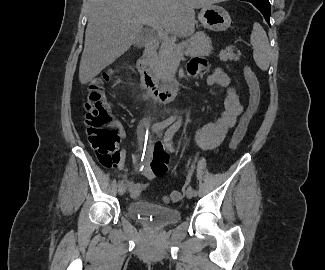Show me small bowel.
Masks as SVG:
<instances>
[{
    "label": "small bowel",
    "instance_id": "small-bowel-1",
    "mask_svg": "<svg viewBox=\"0 0 325 270\" xmlns=\"http://www.w3.org/2000/svg\"><path fill=\"white\" fill-rule=\"evenodd\" d=\"M205 66L206 61L204 59H193L189 66V75L194 78L197 77L199 71ZM207 82L209 85H219L228 88L225 107L218 119L214 122L205 124L196 132L197 144L203 149L210 150L216 148L223 141L227 132L236 124L238 117L243 112V106L239 101L235 88L231 85L230 79L224 71L219 68L214 69L208 76ZM117 127L121 137L125 138L124 127L121 124H117ZM119 152L120 160L117 166L121 168L124 164L125 154L123 150ZM153 158L154 160L151 163V167L144 168L142 172V175L148 180L162 176L167 171L169 156L161 146L155 148ZM126 182L132 197L135 198L148 186L146 183L136 182L132 179H128Z\"/></svg>",
    "mask_w": 325,
    "mask_h": 270
}]
</instances>
